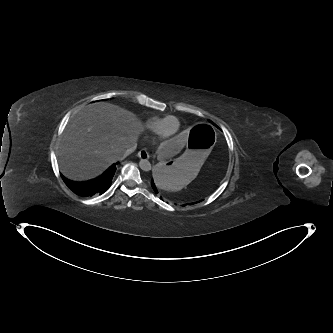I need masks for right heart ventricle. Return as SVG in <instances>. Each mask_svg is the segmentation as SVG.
I'll return each instance as SVG.
<instances>
[{"label": "right heart ventricle", "mask_w": 333, "mask_h": 333, "mask_svg": "<svg viewBox=\"0 0 333 333\" xmlns=\"http://www.w3.org/2000/svg\"><path fill=\"white\" fill-rule=\"evenodd\" d=\"M170 115H166L163 117H150L144 122V128L145 130L151 132V133H157L163 123V121ZM175 121L177 123V127H180V121L178 118H175Z\"/></svg>", "instance_id": "right-heart-ventricle-1"}]
</instances>
